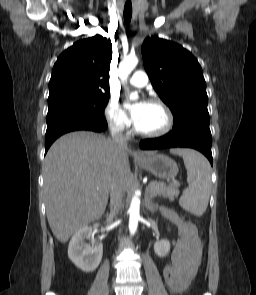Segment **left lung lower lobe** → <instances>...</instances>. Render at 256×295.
Returning a JSON list of instances; mask_svg holds the SVG:
<instances>
[{
  "label": "left lung lower lobe",
  "instance_id": "0a47b994",
  "mask_svg": "<svg viewBox=\"0 0 256 295\" xmlns=\"http://www.w3.org/2000/svg\"><path fill=\"white\" fill-rule=\"evenodd\" d=\"M142 149H164L174 147H188L202 152L213 165L211 152V132L209 126L187 123L172 129L168 134L154 139L140 142Z\"/></svg>",
  "mask_w": 256,
  "mask_h": 295
}]
</instances>
